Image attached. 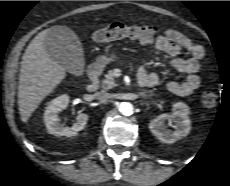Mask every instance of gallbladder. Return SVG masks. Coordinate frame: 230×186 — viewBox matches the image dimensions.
I'll list each match as a JSON object with an SVG mask.
<instances>
[{"label":"gallbladder","mask_w":230,"mask_h":186,"mask_svg":"<svg viewBox=\"0 0 230 186\" xmlns=\"http://www.w3.org/2000/svg\"><path fill=\"white\" fill-rule=\"evenodd\" d=\"M45 48L50 57L74 75L84 68V55L77 35L64 26L51 27L45 36Z\"/></svg>","instance_id":"obj_1"}]
</instances>
